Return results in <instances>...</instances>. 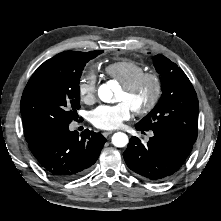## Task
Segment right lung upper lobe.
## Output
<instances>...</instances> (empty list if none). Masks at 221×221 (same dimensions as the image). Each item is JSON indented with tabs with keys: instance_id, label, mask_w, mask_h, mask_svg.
Listing matches in <instances>:
<instances>
[{
	"instance_id": "right-lung-upper-lobe-1",
	"label": "right lung upper lobe",
	"mask_w": 221,
	"mask_h": 221,
	"mask_svg": "<svg viewBox=\"0 0 221 221\" xmlns=\"http://www.w3.org/2000/svg\"><path fill=\"white\" fill-rule=\"evenodd\" d=\"M74 55H75V51L62 52V53H59L58 55L54 56L53 58L47 60L44 63H63V62L72 60ZM23 126H24V134H25V138H26L27 142H29V141L35 139L36 137H38L39 135H41L40 132L35 131L25 122H23Z\"/></svg>"
}]
</instances>
